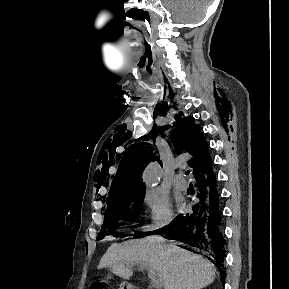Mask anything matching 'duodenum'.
<instances>
[{"instance_id":"duodenum-1","label":"duodenum","mask_w":289,"mask_h":289,"mask_svg":"<svg viewBox=\"0 0 289 289\" xmlns=\"http://www.w3.org/2000/svg\"><path fill=\"white\" fill-rule=\"evenodd\" d=\"M128 289H139V288L134 287V286H131V287H129Z\"/></svg>"}]
</instances>
